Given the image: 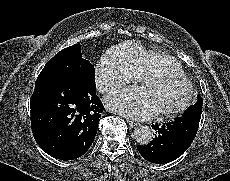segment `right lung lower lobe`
I'll return each instance as SVG.
<instances>
[{
    "instance_id": "obj_1",
    "label": "right lung lower lobe",
    "mask_w": 230,
    "mask_h": 181,
    "mask_svg": "<svg viewBox=\"0 0 230 181\" xmlns=\"http://www.w3.org/2000/svg\"><path fill=\"white\" fill-rule=\"evenodd\" d=\"M30 108L32 133L37 144L60 160L76 159L89 149L104 110L96 87L72 80L35 84Z\"/></svg>"
}]
</instances>
